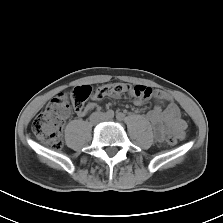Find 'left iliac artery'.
Wrapping results in <instances>:
<instances>
[{"mask_svg":"<svg viewBox=\"0 0 223 223\" xmlns=\"http://www.w3.org/2000/svg\"><path fill=\"white\" fill-rule=\"evenodd\" d=\"M116 118H117V120L121 121V120H123L125 118V115L123 113H118L116 115Z\"/></svg>","mask_w":223,"mask_h":223,"instance_id":"1","label":"left iliac artery"}]
</instances>
